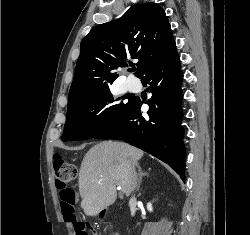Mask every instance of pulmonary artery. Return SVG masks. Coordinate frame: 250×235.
<instances>
[{
  "label": "pulmonary artery",
  "mask_w": 250,
  "mask_h": 235,
  "mask_svg": "<svg viewBox=\"0 0 250 235\" xmlns=\"http://www.w3.org/2000/svg\"><path fill=\"white\" fill-rule=\"evenodd\" d=\"M126 85H127V88L130 90V91H135L139 88V82L136 81V82H132L131 80H128L126 82Z\"/></svg>",
  "instance_id": "pulmonary-artery-1"
}]
</instances>
